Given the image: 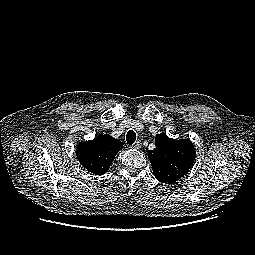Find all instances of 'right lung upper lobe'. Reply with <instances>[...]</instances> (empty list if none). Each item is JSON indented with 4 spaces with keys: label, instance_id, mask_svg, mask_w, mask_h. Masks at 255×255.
I'll return each mask as SVG.
<instances>
[{
    "label": "right lung upper lobe",
    "instance_id": "right-lung-upper-lobe-1",
    "mask_svg": "<svg viewBox=\"0 0 255 255\" xmlns=\"http://www.w3.org/2000/svg\"><path fill=\"white\" fill-rule=\"evenodd\" d=\"M123 144L109 135H99L90 141L77 146V157L80 164L95 175L105 174Z\"/></svg>",
    "mask_w": 255,
    "mask_h": 255
}]
</instances>
